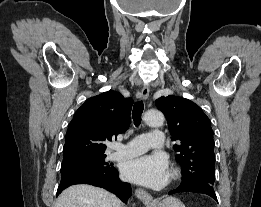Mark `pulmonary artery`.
I'll return each instance as SVG.
<instances>
[{
    "instance_id": "1",
    "label": "pulmonary artery",
    "mask_w": 261,
    "mask_h": 207,
    "mask_svg": "<svg viewBox=\"0 0 261 207\" xmlns=\"http://www.w3.org/2000/svg\"><path fill=\"white\" fill-rule=\"evenodd\" d=\"M164 144V134L159 130L138 135L126 144H115L111 155L112 160H122L143 154L150 148L161 149Z\"/></svg>"
}]
</instances>
